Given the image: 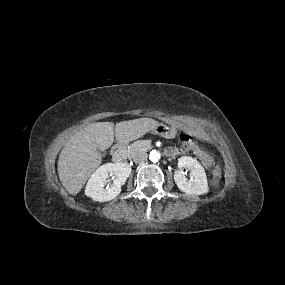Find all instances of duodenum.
<instances>
[{
    "mask_svg": "<svg viewBox=\"0 0 285 285\" xmlns=\"http://www.w3.org/2000/svg\"><path fill=\"white\" fill-rule=\"evenodd\" d=\"M166 155L169 157H173L175 156V153L173 150H170L166 151ZM112 156L115 162H122L126 158L125 144L117 143L112 150Z\"/></svg>",
    "mask_w": 285,
    "mask_h": 285,
    "instance_id": "duodenum-1",
    "label": "duodenum"
}]
</instances>
